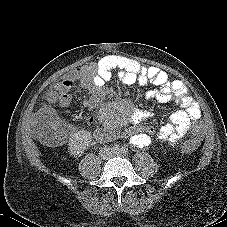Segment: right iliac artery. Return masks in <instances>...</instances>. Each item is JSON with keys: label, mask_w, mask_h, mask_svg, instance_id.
Listing matches in <instances>:
<instances>
[{"label": "right iliac artery", "mask_w": 227, "mask_h": 227, "mask_svg": "<svg viewBox=\"0 0 227 227\" xmlns=\"http://www.w3.org/2000/svg\"><path fill=\"white\" fill-rule=\"evenodd\" d=\"M113 151H119V145H115L113 148H112Z\"/></svg>", "instance_id": "right-iliac-artery-1"}]
</instances>
